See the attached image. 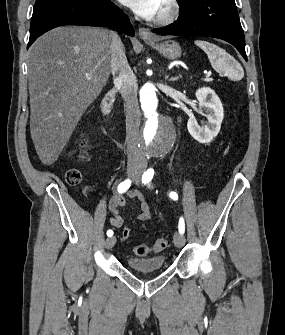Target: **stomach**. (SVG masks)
Returning <instances> with one entry per match:
<instances>
[{
	"instance_id": "obj_1",
	"label": "stomach",
	"mask_w": 285,
	"mask_h": 335,
	"mask_svg": "<svg viewBox=\"0 0 285 335\" xmlns=\"http://www.w3.org/2000/svg\"><path fill=\"white\" fill-rule=\"evenodd\" d=\"M147 44L155 48V50H158L159 54H162V56L168 58V60L181 58L182 50L178 42H174V40H166V42H162V44H155V42H147Z\"/></svg>"
}]
</instances>
